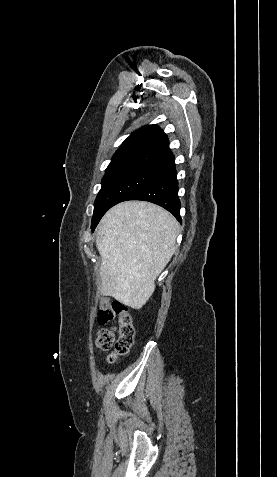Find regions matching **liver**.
Here are the masks:
<instances>
[{
	"label": "liver",
	"mask_w": 277,
	"mask_h": 477,
	"mask_svg": "<svg viewBox=\"0 0 277 477\" xmlns=\"http://www.w3.org/2000/svg\"><path fill=\"white\" fill-rule=\"evenodd\" d=\"M178 233V221L155 204L126 201L111 208L97 227L101 294L142 308L175 251Z\"/></svg>",
	"instance_id": "obj_1"
}]
</instances>
